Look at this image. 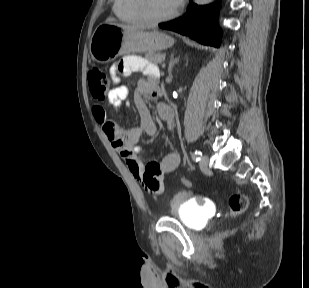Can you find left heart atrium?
Returning a JSON list of instances; mask_svg holds the SVG:
<instances>
[{
	"label": "left heart atrium",
	"instance_id": "left-heart-atrium-1",
	"mask_svg": "<svg viewBox=\"0 0 309 288\" xmlns=\"http://www.w3.org/2000/svg\"><path fill=\"white\" fill-rule=\"evenodd\" d=\"M177 4H180L183 0H175Z\"/></svg>",
	"mask_w": 309,
	"mask_h": 288
}]
</instances>
